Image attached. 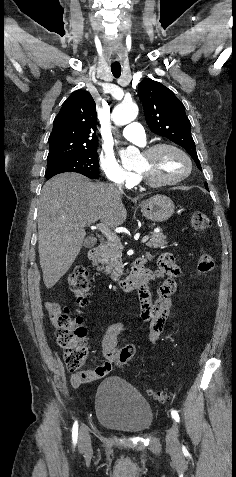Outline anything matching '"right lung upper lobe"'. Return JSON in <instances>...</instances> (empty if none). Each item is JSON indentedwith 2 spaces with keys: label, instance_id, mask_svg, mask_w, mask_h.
Masks as SVG:
<instances>
[{
  "label": "right lung upper lobe",
  "instance_id": "1",
  "mask_svg": "<svg viewBox=\"0 0 236 477\" xmlns=\"http://www.w3.org/2000/svg\"><path fill=\"white\" fill-rule=\"evenodd\" d=\"M96 123V105L90 93L82 90L73 92L54 120L47 159L60 158L81 148L97 145Z\"/></svg>",
  "mask_w": 236,
  "mask_h": 477
}]
</instances>
